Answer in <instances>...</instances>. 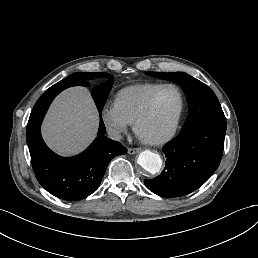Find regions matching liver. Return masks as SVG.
I'll list each match as a JSON object with an SVG mask.
<instances>
[{"label":"liver","instance_id":"obj_1","mask_svg":"<svg viewBox=\"0 0 258 258\" xmlns=\"http://www.w3.org/2000/svg\"><path fill=\"white\" fill-rule=\"evenodd\" d=\"M99 111L89 89L76 85L52 101L40 126L44 143L62 157L77 156L96 139Z\"/></svg>","mask_w":258,"mask_h":258}]
</instances>
